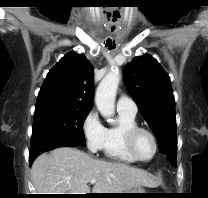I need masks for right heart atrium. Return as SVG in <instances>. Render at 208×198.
Listing matches in <instances>:
<instances>
[{"mask_svg": "<svg viewBox=\"0 0 208 198\" xmlns=\"http://www.w3.org/2000/svg\"><path fill=\"white\" fill-rule=\"evenodd\" d=\"M106 128L102 124L98 113L91 110L83 120L82 131L87 148L92 153L102 150Z\"/></svg>", "mask_w": 208, "mask_h": 198, "instance_id": "d8ad5b80", "label": "right heart atrium"}]
</instances>
